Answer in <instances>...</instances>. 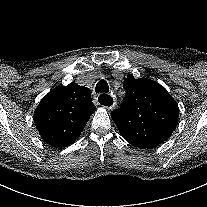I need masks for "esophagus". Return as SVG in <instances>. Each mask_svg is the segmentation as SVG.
I'll return each mask as SVG.
<instances>
[{
    "label": "esophagus",
    "instance_id": "34e87169",
    "mask_svg": "<svg viewBox=\"0 0 207 207\" xmlns=\"http://www.w3.org/2000/svg\"><path fill=\"white\" fill-rule=\"evenodd\" d=\"M107 95V94H106ZM109 96V95H108ZM93 102L95 105H99V102H98V96H95V98L93 99ZM106 108H109L106 106Z\"/></svg>",
    "mask_w": 207,
    "mask_h": 207
}]
</instances>
